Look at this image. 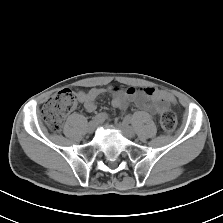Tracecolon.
<instances>
[{
  "label": "colon",
  "mask_w": 223,
  "mask_h": 223,
  "mask_svg": "<svg viewBox=\"0 0 223 223\" xmlns=\"http://www.w3.org/2000/svg\"><path fill=\"white\" fill-rule=\"evenodd\" d=\"M77 105L76 96L70 89H63L52 96L43 106L41 117L43 122L53 131H59L65 116ZM160 124L166 134H171L177 124L176 114L171 109L162 111Z\"/></svg>",
  "instance_id": "colon-1"
}]
</instances>
